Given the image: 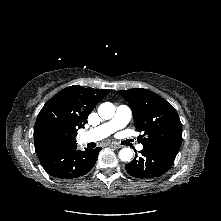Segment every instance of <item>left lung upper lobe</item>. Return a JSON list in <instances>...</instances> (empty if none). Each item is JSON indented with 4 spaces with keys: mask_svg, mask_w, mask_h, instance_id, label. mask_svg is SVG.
Segmentation results:
<instances>
[{
    "mask_svg": "<svg viewBox=\"0 0 221 221\" xmlns=\"http://www.w3.org/2000/svg\"><path fill=\"white\" fill-rule=\"evenodd\" d=\"M130 104L134 125L142 145L163 146L179 150L182 125L174 107L147 89L118 91Z\"/></svg>",
    "mask_w": 221,
    "mask_h": 221,
    "instance_id": "5c2ea615",
    "label": "left lung upper lobe"
}]
</instances>
